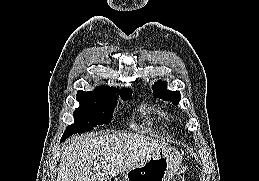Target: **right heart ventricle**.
<instances>
[{
    "mask_svg": "<svg viewBox=\"0 0 259 181\" xmlns=\"http://www.w3.org/2000/svg\"><path fill=\"white\" fill-rule=\"evenodd\" d=\"M145 114L153 115L159 118H165L167 116V113L161 109L158 108H150L145 111Z\"/></svg>",
    "mask_w": 259,
    "mask_h": 181,
    "instance_id": "1",
    "label": "right heart ventricle"
}]
</instances>
